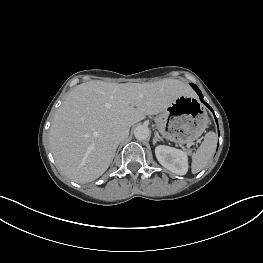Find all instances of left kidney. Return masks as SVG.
Returning a JSON list of instances; mask_svg holds the SVG:
<instances>
[{
	"label": "left kidney",
	"mask_w": 263,
	"mask_h": 263,
	"mask_svg": "<svg viewBox=\"0 0 263 263\" xmlns=\"http://www.w3.org/2000/svg\"><path fill=\"white\" fill-rule=\"evenodd\" d=\"M155 155L159 163L169 171L177 175L187 173L188 157L186 152L166 145H159L155 148Z\"/></svg>",
	"instance_id": "left-kidney-1"
}]
</instances>
